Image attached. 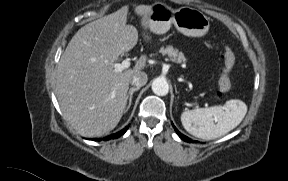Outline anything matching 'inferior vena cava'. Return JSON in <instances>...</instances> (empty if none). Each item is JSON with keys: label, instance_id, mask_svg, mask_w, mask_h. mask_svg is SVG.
Returning a JSON list of instances; mask_svg holds the SVG:
<instances>
[{"label": "inferior vena cava", "instance_id": "inferior-vena-cava-1", "mask_svg": "<svg viewBox=\"0 0 288 181\" xmlns=\"http://www.w3.org/2000/svg\"><path fill=\"white\" fill-rule=\"evenodd\" d=\"M148 81L147 74L145 72H138L132 77L131 84L136 87L144 86Z\"/></svg>", "mask_w": 288, "mask_h": 181}]
</instances>
